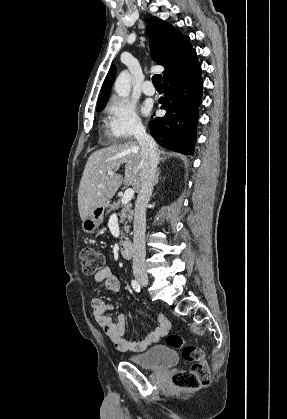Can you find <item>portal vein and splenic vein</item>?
Here are the masks:
<instances>
[{
	"mask_svg": "<svg viewBox=\"0 0 287 419\" xmlns=\"http://www.w3.org/2000/svg\"><path fill=\"white\" fill-rule=\"evenodd\" d=\"M109 175L113 174V171H108ZM134 196V190L132 188H128L125 190L124 195L121 198V203L122 204H127L130 202V200L133 198Z\"/></svg>",
	"mask_w": 287,
	"mask_h": 419,
	"instance_id": "1",
	"label": "portal vein and splenic vein"
}]
</instances>
